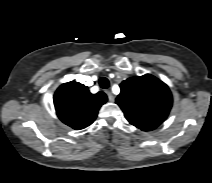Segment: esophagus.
I'll return each mask as SVG.
<instances>
[{
  "instance_id": "1",
  "label": "esophagus",
  "mask_w": 212,
  "mask_h": 183,
  "mask_svg": "<svg viewBox=\"0 0 212 183\" xmlns=\"http://www.w3.org/2000/svg\"><path fill=\"white\" fill-rule=\"evenodd\" d=\"M109 101L113 102L115 100V96L112 94L110 90L106 91Z\"/></svg>"
}]
</instances>
